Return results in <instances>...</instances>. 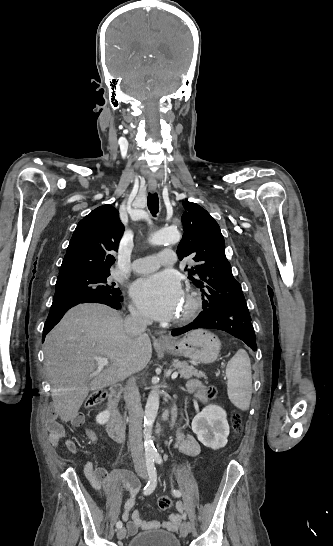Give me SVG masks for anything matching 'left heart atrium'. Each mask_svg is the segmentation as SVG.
Masks as SVG:
<instances>
[{
	"instance_id": "39dd6f15",
	"label": "left heart atrium",
	"mask_w": 333,
	"mask_h": 546,
	"mask_svg": "<svg viewBox=\"0 0 333 546\" xmlns=\"http://www.w3.org/2000/svg\"><path fill=\"white\" fill-rule=\"evenodd\" d=\"M131 293L143 312L157 320L175 317L184 297L178 276L170 271L137 280Z\"/></svg>"
}]
</instances>
